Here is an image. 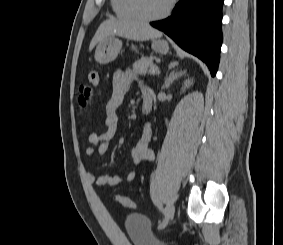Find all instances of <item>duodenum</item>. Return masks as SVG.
<instances>
[{
	"instance_id": "410a0bca",
	"label": "duodenum",
	"mask_w": 283,
	"mask_h": 245,
	"mask_svg": "<svg viewBox=\"0 0 283 245\" xmlns=\"http://www.w3.org/2000/svg\"><path fill=\"white\" fill-rule=\"evenodd\" d=\"M142 110L145 114H149L152 110V97L150 94L143 95Z\"/></svg>"
}]
</instances>
